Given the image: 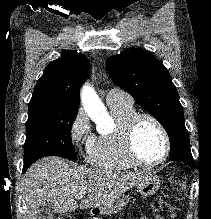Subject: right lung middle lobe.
Instances as JSON below:
<instances>
[{
    "label": "right lung middle lobe",
    "instance_id": "dd1d6c3e",
    "mask_svg": "<svg viewBox=\"0 0 211 219\" xmlns=\"http://www.w3.org/2000/svg\"><path fill=\"white\" fill-rule=\"evenodd\" d=\"M77 110H59L46 103L29 104L26 122L24 164L50 155L77 159L71 141V127Z\"/></svg>",
    "mask_w": 211,
    "mask_h": 219
}]
</instances>
